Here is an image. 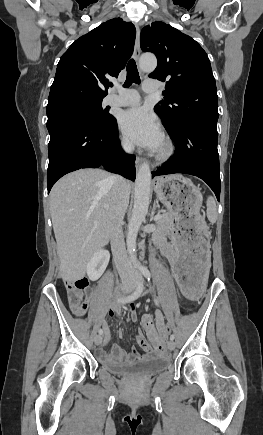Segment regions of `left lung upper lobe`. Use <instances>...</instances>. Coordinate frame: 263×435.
Wrapping results in <instances>:
<instances>
[{
	"label": "left lung upper lobe",
	"instance_id": "obj_1",
	"mask_svg": "<svg viewBox=\"0 0 263 435\" xmlns=\"http://www.w3.org/2000/svg\"><path fill=\"white\" fill-rule=\"evenodd\" d=\"M141 49L158 60L149 77L166 81L164 101L155 107L167 131L186 120H218V96L209 58L190 36L163 22L141 31Z\"/></svg>",
	"mask_w": 263,
	"mask_h": 435
}]
</instances>
